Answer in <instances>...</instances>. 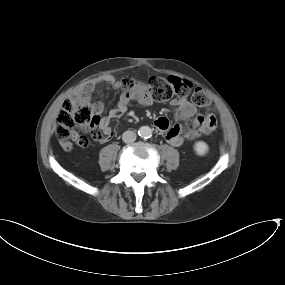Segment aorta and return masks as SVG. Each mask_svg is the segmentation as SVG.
I'll list each match as a JSON object with an SVG mask.
<instances>
[{
  "label": "aorta",
  "instance_id": "obj_1",
  "mask_svg": "<svg viewBox=\"0 0 285 285\" xmlns=\"http://www.w3.org/2000/svg\"><path fill=\"white\" fill-rule=\"evenodd\" d=\"M138 134L142 138H150L152 136V129L149 126H142L138 130Z\"/></svg>",
  "mask_w": 285,
  "mask_h": 285
}]
</instances>
